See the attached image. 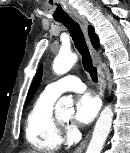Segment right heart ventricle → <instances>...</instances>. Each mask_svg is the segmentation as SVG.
Here are the masks:
<instances>
[{
	"label": "right heart ventricle",
	"instance_id": "1",
	"mask_svg": "<svg viewBox=\"0 0 130 153\" xmlns=\"http://www.w3.org/2000/svg\"><path fill=\"white\" fill-rule=\"evenodd\" d=\"M56 99L57 97L44 90L32 105L26 118V140L39 152H54L61 144L62 127L53 112Z\"/></svg>",
	"mask_w": 130,
	"mask_h": 153
}]
</instances>
